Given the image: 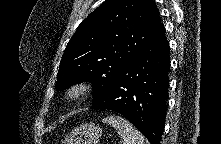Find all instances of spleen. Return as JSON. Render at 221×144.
Listing matches in <instances>:
<instances>
[{"label": "spleen", "instance_id": "1", "mask_svg": "<svg viewBox=\"0 0 221 144\" xmlns=\"http://www.w3.org/2000/svg\"><path fill=\"white\" fill-rule=\"evenodd\" d=\"M103 122L112 125L118 131L124 144H144L143 135L125 118L112 115L104 118Z\"/></svg>", "mask_w": 221, "mask_h": 144}]
</instances>
